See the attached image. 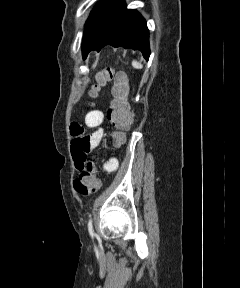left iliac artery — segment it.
Segmentation results:
<instances>
[{
	"label": "left iliac artery",
	"mask_w": 240,
	"mask_h": 288,
	"mask_svg": "<svg viewBox=\"0 0 240 288\" xmlns=\"http://www.w3.org/2000/svg\"><path fill=\"white\" fill-rule=\"evenodd\" d=\"M88 231H89V233H90V235H91L92 237L95 236V232H94V229H93V223H92V218H91V216H90V219H89V222H88Z\"/></svg>",
	"instance_id": "44dca946"
}]
</instances>
